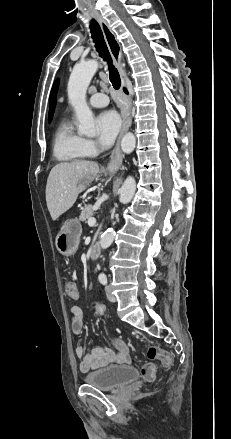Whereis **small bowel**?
Segmentation results:
<instances>
[{"mask_svg": "<svg viewBox=\"0 0 231 439\" xmlns=\"http://www.w3.org/2000/svg\"><path fill=\"white\" fill-rule=\"evenodd\" d=\"M77 299V298H74ZM104 312L105 307L101 305ZM70 322L73 334L79 335L84 324V314L80 306L74 305L70 309ZM114 349L108 347H96L90 352H85L82 346H77L75 355L80 360L79 368L82 372L106 367L110 364H126L129 362V349L122 339L113 341Z\"/></svg>", "mask_w": 231, "mask_h": 439, "instance_id": "obj_1", "label": "small bowel"}]
</instances>
